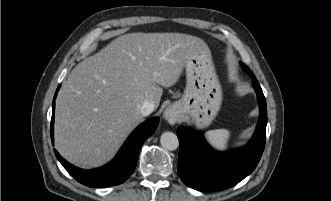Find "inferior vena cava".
<instances>
[{
  "instance_id": "inferior-vena-cava-1",
  "label": "inferior vena cava",
  "mask_w": 331,
  "mask_h": 201,
  "mask_svg": "<svg viewBox=\"0 0 331 201\" xmlns=\"http://www.w3.org/2000/svg\"><path fill=\"white\" fill-rule=\"evenodd\" d=\"M154 109V103L150 100H145L140 108V111L143 116H148L154 111Z\"/></svg>"
}]
</instances>
